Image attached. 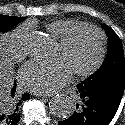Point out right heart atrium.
Wrapping results in <instances>:
<instances>
[{
    "instance_id": "d8ad5b80",
    "label": "right heart atrium",
    "mask_w": 125,
    "mask_h": 125,
    "mask_svg": "<svg viewBox=\"0 0 125 125\" xmlns=\"http://www.w3.org/2000/svg\"><path fill=\"white\" fill-rule=\"evenodd\" d=\"M7 48L15 61L23 59L29 51V26L21 25L10 34Z\"/></svg>"
}]
</instances>
